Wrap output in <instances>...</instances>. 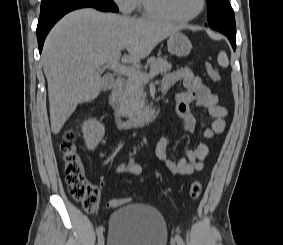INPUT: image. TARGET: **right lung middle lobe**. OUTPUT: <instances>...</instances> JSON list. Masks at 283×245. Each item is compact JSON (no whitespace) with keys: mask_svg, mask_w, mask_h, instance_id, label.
Here are the masks:
<instances>
[{"mask_svg":"<svg viewBox=\"0 0 283 245\" xmlns=\"http://www.w3.org/2000/svg\"><path fill=\"white\" fill-rule=\"evenodd\" d=\"M76 0H42L41 2V11H44L46 9L56 7L59 5H63L69 2H73ZM108 1H113V0H108Z\"/></svg>","mask_w":283,"mask_h":245,"instance_id":"1","label":"right lung middle lobe"}]
</instances>
